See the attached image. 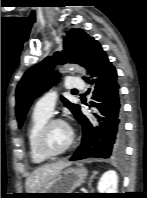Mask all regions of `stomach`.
<instances>
[{"label":"stomach","instance_id":"stomach-1","mask_svg":"<svg viewBox=\"0 0 147 198\" xmlns=\"http://www.w3.org/2000/svg\"><path fill=\"white\" fill-rule=\"evenodd\" d=\"M87 176V170L83 167H68L60 171L44 187L35 192L33 198H56L63 197V194L52 193H71L76 187L84 183Z\"/></svg>","mask_w":147,"mask_h":198}]
</instances>
